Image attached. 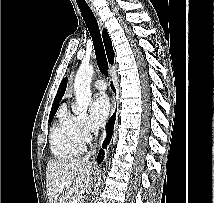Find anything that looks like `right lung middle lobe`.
I'll use <instances>...</instances> for the list:
<instances>
[{
	"label": "right lung middle lobe",
	"instance_id": "dd1d6c3e",
	"mask_svg": "<svg viewBox=\"0 0 214 203\" xmlns=\"http://www.w3.org/2000/svg\"><path fill=\"white\" fill-rule=\"evenodd\" d=\"M53 118H54V115L49 116V123L53 120Z\"/></svg>",
	"mask_w": 214,
	"mask_h": 203
}]
</instances>
